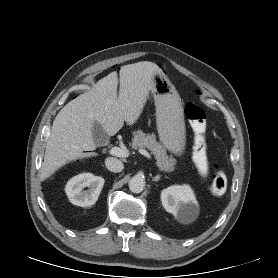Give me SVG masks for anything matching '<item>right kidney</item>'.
<instances>
[{"instance_id":"right-kidney-1","label":"right kidney","mask_w":278,"mask_h":278,"mask_svg":"<svg viewBox=\"0 0 278 278\" xmlns=\"http://www.w3.org/2000/svg\"><path fill=\"white\" fill-rule=\"evenodd\" d=\"M105 183L104 178L91 173H82L71 178L65 187V192L74 205L91 206L96 203ZM88 187V190H84Z\"/></svg>"}]
</instances>
